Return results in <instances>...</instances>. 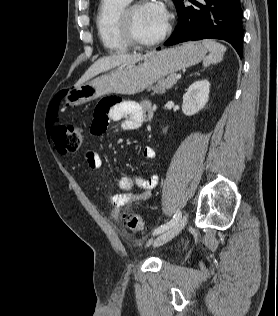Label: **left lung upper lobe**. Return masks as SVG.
<instances>
[{
	"label": "left lung upper lobe",
	"instance_id": "obj_1",
	"mask_svg": "<svg viewBox=\"0 0 278 316\" xmlns=\"http://www.w3.org/2000/svg\"><path fill=\"white\" fill-rule=\"evenodd\" d=\"M173 1H174L175 5L179 2V0H173Z\"/></svg>",
	"mask_w": 278,
	"mask_h": 316
}]
</instances>
